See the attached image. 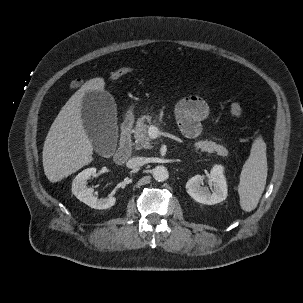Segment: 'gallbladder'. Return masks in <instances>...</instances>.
<instances>
[{
	"label": "gallbladder",
	"mask_w": 303,
	"mask_h": 303,
	"mask_svg": "<svg viewBox=\"0 0 303 303\" xmlns=\"http://www.w3.org/2000/svg\"><path fill=\"white\" fill-rule=\"evenodd\" d=\"M84 129L95 149L104 154L114 150L117 138L116 104L107 91L87 92L82 101Z\"/></svg>",
	"instance_id": "bac80fb5"
}]
</instances>
